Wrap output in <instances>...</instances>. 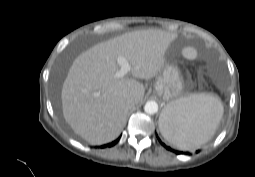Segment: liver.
Returning <instances> with one entry per match:
<instances>
[{
    "instance_id": "liver-1",
    "label": "liver",
    "mask_w": 255,
    "mask_h": 177,
    "mask_svg": "<svg viewBox=\"0 0 255 177\" xmlns=\"http://www.w3.org/2000/svg\"><path fill=\"white\" fill-rule=\"evenodd\" d=\"M176 35L162 30H139L96 44L73 62L63 83V116L74 132L92 145L115 140L123 130L130 108L126 102L139 104L145 94L142 83L165 66V53ZM126 58L130 75L115 77ZM164 111V110H163ZM162 112L159 118L167 121Z\"/></svg>"
}]
</instances>
